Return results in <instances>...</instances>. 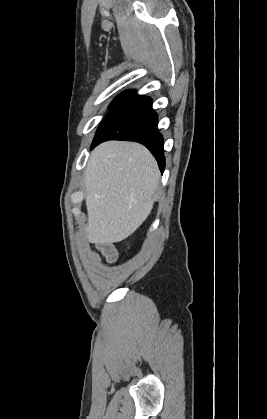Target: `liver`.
Segmentation results:
<instances>
[{"label": "liver", "mask_w": 267, "mask_h": 419, "mask_svg": "<svg viewBox=\"0 0 267 419\" xmlns=\"http://www.w3.org/2000/svg\"><path fill=\"white\" fill-rule=\"evenodd\" d=\"M159 180L157 162L141 144L108 141L96 147L84 174L88 240L112 244L133 234L153 208Z\"/></svg>", "instance_id": "1"}]
</instances>
